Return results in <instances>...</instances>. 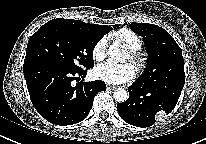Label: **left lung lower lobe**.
<instances>
[{
    "mask_svg": "<svg viewBox=\"0 0 206 144\" xmlns=\"http://www.w3.org/2000/svg\"><path fill=\"white\" fill-rule=\"evenodd\" d=\"M184 83V75L152 86H143L134 82L128 87L130 95L128 100L117 105L118 113L130 125L152 126L157 115L168 114L174 109Z\"/></svg>",
    "mask_w": 206,
    "mask_h": 144,
    "instance_id": "0a47b994",
    "label": "left lung lower lobe"
}]
</instances>
